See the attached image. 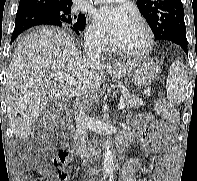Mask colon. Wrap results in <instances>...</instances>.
I'll list each match as a JSON object with an SVG mask.
<instances>
[{
    "label": "colon",
    "instance_id": "colon-1",
    "mask_svg": "<svg viewBox=\"0 0 197 181\" xmlns=\"http://www.w3.org/2000/svg\"><path fill=\"white\" fill-rule=\"evenodd\" d=\"M157 111L159 115L170 124H175L178 121V113L174 106L166 99L160 98L157 101ZM52 120L44 118L40 124L34 129V134L37 137H44L48 134L52 127ZM58 166V171L54 174L50 173L46 167L45 160L41 154L28 157V177L29 181H67L71 163L67 151H59L53 160Z\"/></svg>",
    "mask_w": 197,
    "mask_h": 181
}]
</instances>
